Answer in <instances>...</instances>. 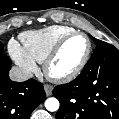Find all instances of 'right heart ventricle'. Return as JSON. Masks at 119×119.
Listing matches in <instances>:
<instances>
[{
  "mask_svg": "<svg viewBox=\"0 0 119 119\" xmlns=\"http://www.w3.org/2000/svg\"><path fill=\"white\" fill-rule=\"evenodd\" d=\"M75 31L65 25H52L43 29L28 31L21 35L23 47L39 63H43L55 44L65 35Z\"/></svg>",
  "mask_w": 119,
  "mask_h": 119,
  "instance_id": "e07e8e85",
  "label": "right heart ventricle"
}]
</instances>
